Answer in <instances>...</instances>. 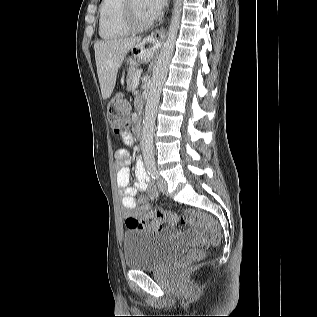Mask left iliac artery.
<instances>
[{
    "mask_svg": "<svg viewBox=\"0 0 317 317\" xmlns=\"http://www.w3.org/2000/svg\"><path fill=\"white\" fill-rule=\"evenodd\" d=\"M148 173H149V175H151V177L153 179H158L159 178V174H158V171H157L155 166L149 167Z\"/></svg>",
    "mask_w": 317,
    "mask_h": 317,
    "instance_id": "obj_1",
    "label": "left iliac artery"
}]
</instances>
